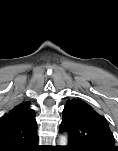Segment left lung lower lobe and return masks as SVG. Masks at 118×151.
Returning a JSON list of instances; mask_svg holds the SVG:
<instances>
[{
	"mask_svg": "<svg viewBox=\"0 0 118 151\" xmlns=\"http://www.w3.org/2000/svg\"><path fill=\"white\" fill-rule=\"evenodd\" d=\"M64 150L65 151H78V149L70 142H69L68 146L64 147Z\"/></svg>",
	"mask_w": 118,
	"mask_h": 151,
	"instance_id": "obj_1",
	"label": "left lung lower lobe"
}]
</instances>
